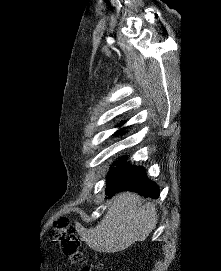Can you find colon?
Instances as JSON below:
<instances>
[{
	"label": "colon",
	"mask_w": 221,
	"mask_h": 271,
	"mask_svg": "<svg viewBox=\"0 0 221 271\" xmlns=\"http://www.w3.org/2000/svg\"><path fill=\"white\" fill-rule=\"evenodd\" d=\"M53 237L65 256L74 261L82 260L83 253L80 250L81 241L78 231L75 229L69 216H62L57 219L53 229ZM93 270L92 265H86L81 268V271Z\"/></svg>",
	"instance_id": "5ec220e1"
}]
</instances>
